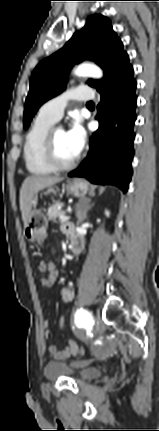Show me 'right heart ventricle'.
I'll return each mask as SVG.
<instances>
[{"instance_id":"obj_1","label":"right heart ventricle","mask_w":159,"mask_h":431,"mask_svg":"<svg viewBox=\"0 0 159 431\" xmlns=\"http://www.w3.org/2000/svg\"><path fill=\"white\" fill-rule=\"evenodd\" d=\"M53 124V120L39 113L26 134L23 158L26 169L33 175H49L55 171L44 156L45 140Z\"/></svg>"}]
</instances>
